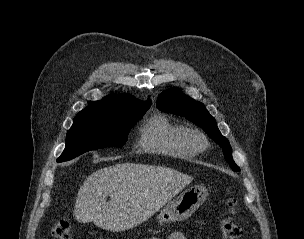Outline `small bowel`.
<instances>
[{
	"label": "small bowel",
	"instance_id": "obj_1",
	"mask_svg": "<svg viewBox=\"0 0 304 239\" xmlns=\"http://www.w3.org/2000/svg\"><path fill=\"white\" fill-rule=\"evenodd\" d=\"M168 239H187V238L182 232H174L168 237Z\"/></svg>",
	"mask_w": 304,
	"mask_h": 239
}]
</instances>
